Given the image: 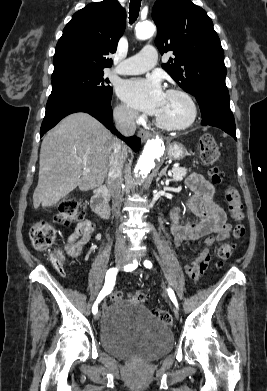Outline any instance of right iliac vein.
I'll return each mask as SVG.
<instances>
[{"mask_svg":"<svg viewBox=\"0 0 267 391\" xmlns=\"http://www.w3.org/2000/svg\"><path fill=\"white\" fill-rule=\"evenodd\" d=\"M115 263H116V266H117L118 268H122V267H124L125 264L127 263V257H126L125 255L118 254V255L116 256V258H115ZM100 316H101V313H100V312H97V313L95 314V317H94L95 320H99Z\"/></svg>","mask_w":267,"mask_h":391,"instance_id":"1","label":"right iliac vein"}]
</instances>
